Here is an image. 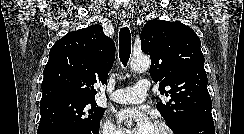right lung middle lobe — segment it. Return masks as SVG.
<instances>
[{"instance_id": "1", "label": "right lung middle lobe", "mask_w": 244, "mask_h": 134, "mask_svg": "<svg viewBox=\"0 0 244 134\" xmlns=\"http://www.w3.org/2000/svg\"><path fill=\"white\" fill-rule=\"evenodd\" d=\"M104 109L96 101L80 100L69 97H55L41 101V119L37 134L62 127L95 130L100 126Z\"/></svg>"}]
</instances>
